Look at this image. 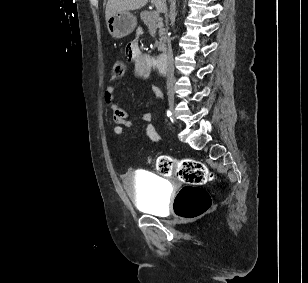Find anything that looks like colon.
Here are the masks:
<instances>
[{
    "mask_svg": "<svg viewBox=\"0 0 308 283\" xmlns=\"http://www.w3.org/2000/svg\"><path fill=\"white\" fill-rule=\"evenodd\" d=\"M126 71L125 63L117 61L113 65V76L122 77ZM156 170L163 176H176L184 186L174 200L176 214L185 219H194L203 215L211 207V199L201 185L213 179V174L200 161L194 159H176L162 155L155 159Z\"/></svg>",
    "mask_w": 308,
    "mask_h": 283,
    "instance_id": "obj_1",
    "label": "colon"
}]
</instances>
